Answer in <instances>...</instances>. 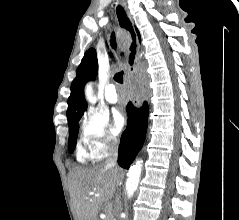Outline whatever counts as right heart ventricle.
I'll list each match as a JSON object with an SVG mask.
<instances>
[{"mask_svg":"<svg viewBox=\"0 0 239 220\" xmlns=\"http://www.w3.org/2000/svg\"><path fill=\"white\" fill-rule=\"evenodd\" d=\"M77 159L80 162H85L90 159L88 151L83 145H80L77 149Z\"/></svg>","mask_w":239,"mask_h":220,"instance_id":"1","label":"right heart ventricle"}]
</instances>
